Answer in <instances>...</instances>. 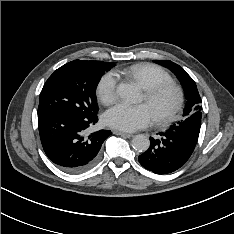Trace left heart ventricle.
I'll list each match as a JSON object with an SVG mask.
<instances>
[{"label":"left heart ventricle","instance_id":"left-heart-ventricle-1","mask_svg":"<svg viewBox=\"0 0 234 234\" xmlns=\"http://www.w3.org/2000/svg\"><path fill=\"white\" fill-rule=\"evenodd\" d=\"M142 101L145 102V104L150 109L153 117H155L164 114L170 109L174 102V95L172 92H165L152 102H146L143 95Z\"/></svg>","mask_w":234,"mask_h":234}]
</instances>
